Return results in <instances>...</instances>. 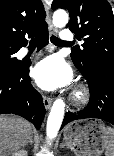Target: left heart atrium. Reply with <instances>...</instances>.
<instances>
[{"mask_svg": "<svg viewBox=\"0 0 114 156\" xmlns=\"http://www.w3.org/2000/svg\"><path fill=\"white\" fill-rule=\"evenodd\" d=\"M32 74L37 85L45 90H55L71 81V71L59 56L43 59L36 64Z\"/></svg>", "mask_w": 114, "mask_h": 156, "instance_id": "39dd6f15", "label": "left heart atrium"}]
</instances>
